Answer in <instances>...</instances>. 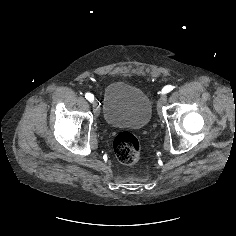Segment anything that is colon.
<instances>
[{
    "instance_id": "5ec220e1",
    "label": "colon",
    "mask_w": 236,
    "mask_h": 236,
    "mask_svg": "<svg viewBox=\"0 0 236 236\" xmlns=\"http://www.w3.org/2000/svg\"><path fill=\"white\" fill-rule=\"evenodd\" d=\"M116 157L123 164L136 163L141 155V143L132 133L121 132L113 142Z\"/></svg>"
}]
</instances>
